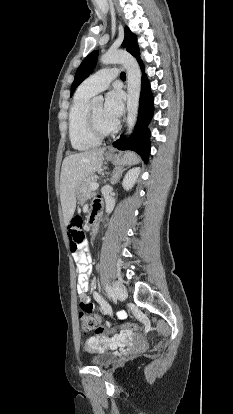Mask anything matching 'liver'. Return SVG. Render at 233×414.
Returning <instances> with one entry per match:
<instances>
[{"instance_id":"liver-1","label":"liver","mask_w":233,"mask_h":414,"mask_svg":"<svg viewBox=\"0 0 233 414\" xmlns=\"http://www.w3.org/2000/svg\"><path fill=\"white\" fill-rule=\"evenodd\" d=\"M105 148H93L71 154L63 160L60 175V199L66 225L76 208V190L85 178L103 164Z\"/></svg>"}]
</instances>
